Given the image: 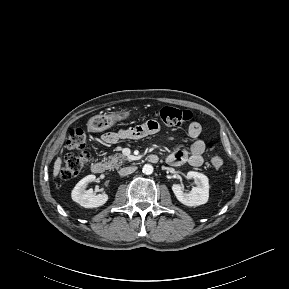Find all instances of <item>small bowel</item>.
I'll return each instance as SVG.
<instances>
[{
	"label": "small bowel",
	"instance_id": "small-bowel-1",
	"mask_svg": "<svg viewBox=\"0 0 289 289\" xmlns=\"http://www.w3.org/2000/svg\"><path fill=\"white\" fill-rule=\"evenodd\" d=\"M160 130L159 124L154 120H149L143 124L126 129H120L115 132H106L102 135V140L105 143L113 144L119 140L125 139H141L150 135L156 134ZM202 131V127L198 122H192L188 127V135L195 139L190 145L189 151L183 146L177 147L168 157L167 162L170 165L178 166L188 162L194 167H199L203 164V153L205 152V143L198 139Z\"/></svg>",
	"mask_w": 289,
	"mask_h": 289
}]
</instances>
